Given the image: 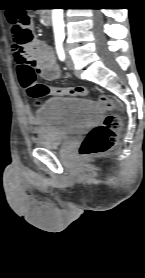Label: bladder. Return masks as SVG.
Segmentation results:
<instances>
[{"instance_id":"1","label":"bladder","mask_w":145,"mask_h":278,"mask_svg":"<svg viewBox=\"0 0 145 278\" xmlns=\"http://www.w3.org/2000/svg\"><path fill=\"white\" fill-rule=\"evenodd\" d=\"M100 118L95 101L79 97L47 98L36 110L33 145L56 150L94 126Z\"/></svg>"}]
</instances>
